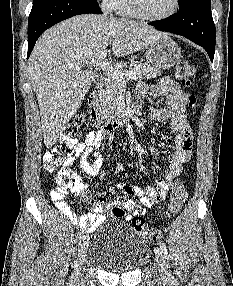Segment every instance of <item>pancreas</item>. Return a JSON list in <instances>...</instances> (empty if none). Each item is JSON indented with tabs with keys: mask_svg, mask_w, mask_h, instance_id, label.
I'll use <instances>...</instances> for the list:
<instances>
[{
	"mask_svg": "<svg viewBox=\"0 0 233 286\" xmlns=\"http://www.w3.org/2000/svg\"><path fill=\"white\" fill-rule=\"evenodd\" d=\"M120 72L125 75L132 71L134 76L138 79H151L160 75V70L151 67L147 63L131 61V69L125 70L123 68L119 69ZM121 89V83L112 77L108 76V81L105 88L102 90L99 103L97 107L99 109L100 115L105 118H112L116 115L118 107V96Z\"/></svg>",
	"mask_w": 233,
	"mask_h": 286,
	"instance_id": "obj_1",
	"label": "pancreas"
}]
</instances>
